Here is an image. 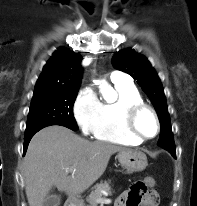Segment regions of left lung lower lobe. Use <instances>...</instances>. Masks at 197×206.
I'll return each instance as SVG.
<instances>
[{
  "instance_id": "0a47b994",
  "label": "left lung lower lobe",
  "mask_w": 197,
  "mask_h": 206,
  "mask_svg": "<svg viewBox=\"0 0 197 206\" xmlns=\"http://www.w3.org/2000/svg\"><path fill=\"white\" fill-rule=\"evenodd\" d=\"M166 150L169 151L172 154V156L175 157V148H168Z\"/></svg>"
}]
</instances>
